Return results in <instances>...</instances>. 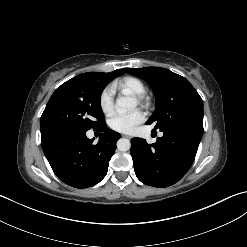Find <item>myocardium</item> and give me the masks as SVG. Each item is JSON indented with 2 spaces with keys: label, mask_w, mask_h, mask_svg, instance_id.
Returning a JSON list of instances; mask_svg holds the SVG:
<instances>
[{
  "label": "myocardium",
  "mask_w": 247,
  "mask_h": 247,
  "mask_svg": "<svg viewBox=\"0 0 247 247\" xmlns=\"http://www.w3.org/2000/svg\"><path fill=\"white\" fill-rule=\"evenodd\" d=\"M137 100H138L139 103H143L144 102L143 97H137Z\"/></svg>",
  "instance_id": "myocardium-1"
}]
</instances>
